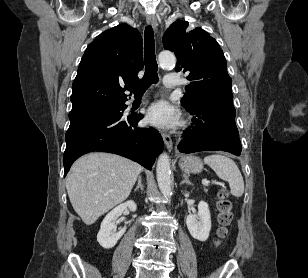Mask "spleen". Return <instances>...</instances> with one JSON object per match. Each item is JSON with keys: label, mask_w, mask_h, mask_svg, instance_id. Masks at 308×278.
Returning <instances> with one entry per match:
<instances>
[{"label": "spleen", "mask_w": 308, "mask_h": 278, "mask_svg": "<svg viewBox=\"0 0 308 278\" xmlns=\"http://www.w3.org/2000/svg\"><path fill=\"white\" fill-rule=\"evenodd\" d=\"M204 162L208 164L216 175L229 183L230 192L235 197H241L244 193V181L236 163L221 154L206 156Z\"/></svg>", "instance_id": "spleen-1"}]
</instances>
